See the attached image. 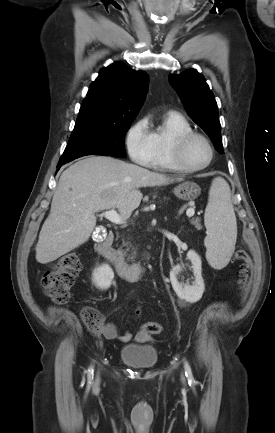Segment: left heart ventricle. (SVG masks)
Here are the masks:
<instances>
[{
	"label": "left heart ventricle",
	"mask_w": 275,
	"mask_h": 433,
	"mask_svg": "<svg viewBox=\"0 0 275 433\" xmlns=\"http://www.w3.org/2000/svg\"><path fill=\"white\" fill-rule=\"evenodd\" d=\"M210 157V151L206 143L196 138L192 140L186 147L185 160L192 166H200L205 164Z\"/></svg>",
	"instance_id": "left-heart-ventricle-1"
}]
</instances>
